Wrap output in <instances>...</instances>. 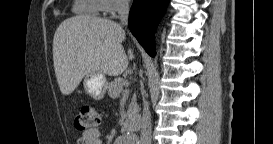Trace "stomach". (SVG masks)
I'll return each mask as SVG.
<instances>
[{
	"instance_id": "1",
	"label": "stomach",
	"mask_w": 273,
	"mask_h": 144,
	"mask_svg": "<svg viewBox=\"0 0 273 144\" xmlns=\"http://www.w3.org/2000/svg\"><path fill=\"white\" fill-rule=\"evenodd\" d=\"M84 89L87 94L96 100H101L107 90L105 75L101 72L89 73L83 79Z\"/></svg>"
}]
</instances>
